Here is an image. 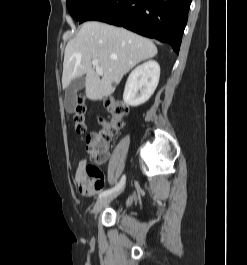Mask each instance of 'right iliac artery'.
Listing matches in <instances>:
<instances>
[{
	"label": "right iliac artery",
	"mask_w": 247,
	"mask_h": 265,
	"mask_svg": "<svg viewBox=\"0 0 247 265\" xmlns=\"http://www.w3.org/2000/svg\"><path fill=\"white\" fill-rule=\"evenodd\" d=\"M125 180H126V177H125V175H123L122 178H121V180H120V182L115 187L101 192L99 194L98 198L105 197V196H107V195H109V194H111V193H113L115 191L120 190L124 186Z\"/></svg>",
	"instance_id": "right-iliac-artery-1"
}]
</instances>
